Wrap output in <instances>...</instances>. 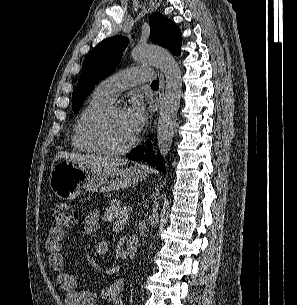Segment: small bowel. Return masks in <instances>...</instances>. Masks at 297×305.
Masks as SVG:
<instances>
[{
  "label": "small bowel",
  "instance_id": "small-bowel-1",
  "mask_svg": "<svg viewBox=\"0 0 297 305\" xmlns=\"http://www.w3.org/2000/svg\"><path fill=\"white\" fill-rule=\"evenodd\" d=\"M99 225V213H90L84 220L82 234L90 240L95 252L102 255L108 252L109 245L106 241L97 238L96 231ZM64 235V231L61 229H49L45 247L49 252V264L55 272L57 284L66 292L65 305H103L99 298L113 305H124L121 297L124 278H120L109 287L100 290L99 294L77 288V279L75 275L67 271L66 260L61 252Z\"/></svg>",
  "mask_w": 297,
  "mask_h": 305
}]
</instances>
